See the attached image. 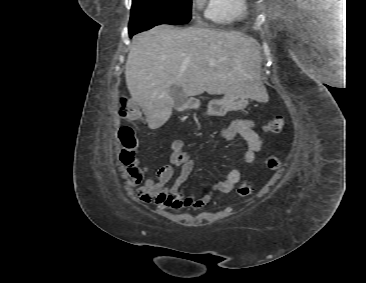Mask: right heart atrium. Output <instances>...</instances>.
<instances>
[{"instance_id":"1","label":"right heart atrium","mask_w":366,"mask_h":283,"mask_svg":"<svg viewBox=\"0 0 366 283\" xmlns=\"http://www.w3.org/2000/svg\"><path fill=\"white\" fill-rule=\"evenodd\" d=\"M196 3L199 1V0H194Z\"/></svg>"}]
</instances>
